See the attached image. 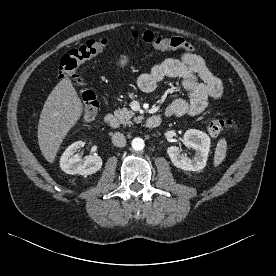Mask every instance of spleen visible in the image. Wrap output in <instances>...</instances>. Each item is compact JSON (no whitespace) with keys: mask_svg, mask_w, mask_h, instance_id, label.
I'll use <instances>...</instances> for the list:
<instances>
[{"mask_svg":"<svg viewBox=\"0 0 276 276\" xmlns=\"http://www.w3.org/2000/svg\"><path fill=\"white\" fill-rule=\"evenodd\" d=\"M227 151V142L224 138L220 139L217 143L215 154H214V166H219L225 159Z\"/></svg>","mask_w":276,"mask_h":276,"instance_id":"obj_1","label":"spleen"}]
</instances>
